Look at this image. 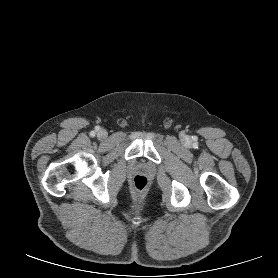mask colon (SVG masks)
Instances as JSON below:
<instances>
[{
  "mask_svg": "<svg viewBox=\"0 0 278 278\" xmlns=\"http://www.w3.org/2000/svg\"><path fill=\"white\" fill-rule=\"evenodd\" d=\"M148 187V179L143 175H137L133 179V188L136 192L142 193Z\"/></svg>",
  "mask_w": 278,
  "mask_h": 278,
  "instance_id": "colon-1",
  "label": "colon"
}]
</instances>
